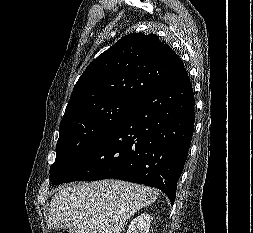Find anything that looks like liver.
Segmentation results:
<instances>
[{
  "mask_svg": "<svg viewBox=\"0 0 253 233\" xmlns=\"http://www.w3.org/2000/svg\"><path fill=\"white\" fill-rule=\"evenodd\" d=\"M158 196L155 189L120 180L67 185L50 202L48 224L72 233H121L131 216Z\"/></svg>",
  "mask_w": 253,
  "mask_h": 233,
  "instance_id": "6515ba94",
  "label": "liver"
}]
</instances>
